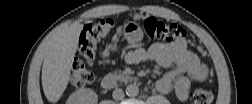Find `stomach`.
Here are the masks:
<instances>
[{"instance_id": "stomach-1", "label": "stomach", "mask_w": 252, "mask_h": 104, "mask_svg": "<svg viewBox=\"0 0 252 104\" xmlns=\"http://www.w3.org/2000/svg\"><path fill=\"white\" fill-rule=\"evenodd\" d=\"M124 37L132 45H138L143 39V31L141 25L136 20H130L123 24L121 28Z\"/></svg>"}]
</instances>
